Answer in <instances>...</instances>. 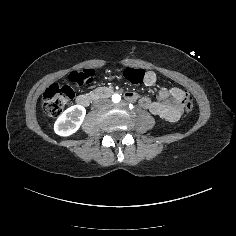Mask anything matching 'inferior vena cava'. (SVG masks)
<instances>
[{"label": "inferior vena cava", "mask_w": 236, "mask_h": 236, "mask_svg": "<svg viewBox=\"0 0 236 236\" xmlns=\"http://www.w3.org/2000/svg\"><path fill=\"white\" fill-rule=\"evenodd\" d=\"M105 103H107L106 99H99L94 102V106L99 108V107L103 106Z\"/></svg>", "instance_id": "inferior-vena-cava-1"}]
</instances>
